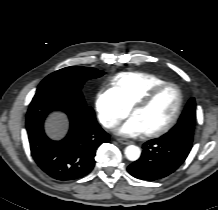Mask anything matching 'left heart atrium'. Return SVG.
<instances>
[{
  "instance_id": "1",
  "label": "left heart atrium",
  "mask_w": 218,
  "mask_h": 210,
  "mask_svg": "<svg viewBox=\"0 0 218 210\" xmlns=\"http://www.w3.org/2000/svg\"><path fill=\"white\" fill-rule=\"evenodd\" d=\"M118 133L128 137H135L145 132L139 119L132 116L119 127Z\"/></svg>"
}]
</instances>
